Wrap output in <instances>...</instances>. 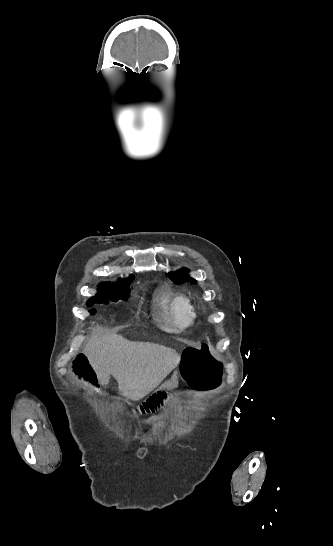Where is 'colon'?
Wrapping results in <instances>:
<instances>
[{
	"label": "colon",
	"instance_id": "5ec220e1",
	"mask_svg": "<svg viewBox=\"0 0 333 546\" xmlns=\"http://www.w3.org/2000/svg\"><path fill=\"white\" fill-rule=\"evenodd\" d=\"M220 362L212 354L207 344H201L187 348L183 353V360L181 365V371L183 378L187 380L194 388L199 390H211L218 387L222 380V373ZM73 372L81 376L85 380V385L92 386L95 390L97 387L94 385L98 374L95 372L96 368L93 364H88L86 356L79 354L73 358L72 361ZM90 379V380H88ZM167 398L165 392L153 394L147 400H143L138 406L132 407V413L136 414L139 411H147V414H151V411L161 406L163 401ZM142 418V415H139Z\"/></svg>",
	"mask_w": 333,
	"mask_h": 546
}]
</instances>
